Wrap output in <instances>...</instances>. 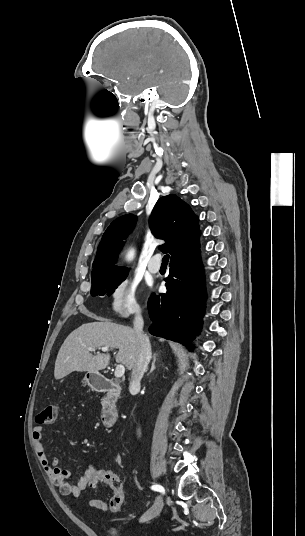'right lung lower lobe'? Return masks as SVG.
I'll return each mask as SVG.
<instances>
[{
    "label": "right lung lower lobe",
    "mask_w": 305,
    "mask_h": 536,
    "mask_svg": "<svg viewBox=\"0 0 305 536\" xmlns=\"http://www.w3.org/2000/svg\"><path fill=\"white\" fill-rule=\"evenodd\" d=\"M167 292L152 295L148 311L153 324L151 334L177 341L190 347L201 329L206 291L199 248L171 260Z\"/></svg>",
    "instance_id": "right-lung-lower-lobe-1"
}]
</instances>
